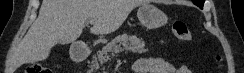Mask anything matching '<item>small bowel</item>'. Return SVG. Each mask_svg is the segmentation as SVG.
<instances>
[{
    "label": "small bowel",
    "instance_id": "1",
    "mask_svg": "<svg viewBox=\"0 0 244 73\" xmlns=\"http://www.w3.org/2000/svg\"><path fill=\"white\" fill-rule=\"evenodd\" d=\"M135 73H191L186 65L174 67L162 58H142L133 64Z\"/></svg>",
    "mask_w": 244,
    "mask_h": 73
}]
</instances>
